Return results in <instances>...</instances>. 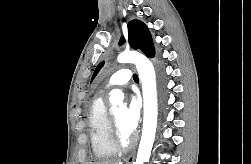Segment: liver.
<instances>
[{
  "label": "liver",
  "instance_id": "1",
  "mask_svg": "<svg viewBox=\"0 0 251 164\" xmlns=\"http://www.w3.org/2000/svg\"><path fill=\"white\" fill-rule=\"evenodd\" d=\"M90 164H123L120 160L98 161Z\"/></svg>",
  "mask_w": 251,
  "mask_h": 164
}]
</instances>
